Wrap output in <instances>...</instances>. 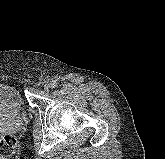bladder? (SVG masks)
<instances>
[{
    "label": "bladder",
    "instance_id": "obj_1",
    "mask_svg": "<svg viewBox=\"0 0 165 159\" xmlns=\"http://www.w3.org/2000/svg\"><path fill=\"white\" fill-rule=\"evenodd\" d=\"M25 108V99L19 88L12 84L0 83V112L18 115Z\"/></svg>",
    "mask_w": 165,
    "mask_h": 159
}]
</instances>
